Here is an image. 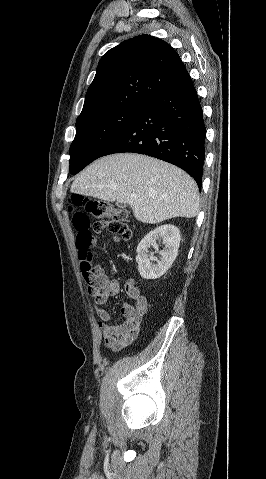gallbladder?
I'll use <instances>...</instances> for the list:
<instances>
[{
  "mask_svg": "<svg viewBox=\"0 0 266 479\" xmlns=\"http://www.w3.org/2000/svg\"><path fill=\"white\" fill-rule=\"evenodd\" d=\"M116 204H117L118 207H122V208H123V207H126V204H123V203L117 202Z\"/></svg>",
  "mask_w": 266,
  "mask_h": 479,
  "instance_id": "1",
  "label": "gallbladder"
}]
</instances>
